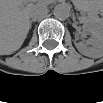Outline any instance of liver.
<instances>
[{
    "mask_svg": "<svg viewBox=\"0 0 103 103\" xmlns=\"http://www.w3.org/2000/svg\"><path fill=\"white\" fill-rule=\"evenodd\" d=\"M22 0L1 2V40L2 55H10L23 44L29 32L30 12L41 4H28Z\"/></svg>",
    "mask_w": 103,
    "mask_h": 103,
    "instance_id": "6515ba94",
    "label": "liver"
}]
</instances>
